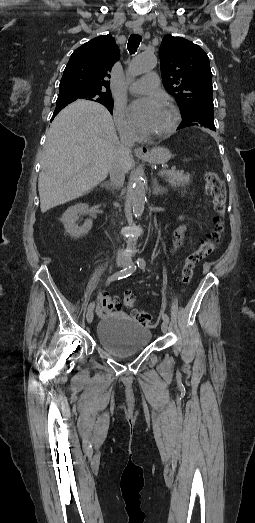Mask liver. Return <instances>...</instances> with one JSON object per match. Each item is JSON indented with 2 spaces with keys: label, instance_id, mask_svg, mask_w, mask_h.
<instances>
[{
  "label": "liver",
  "instance_id": "obj_1",
  "mask_svg": "<svg viewBox=\"0 0 255 523\" xmlns=\"http://www.w3.org/2000/svg\"><path fill=\"white\" fill-rule=\"evenodd\" d=\"M108 110L77 100L53 120L44 144L38 178L42 214L80 198L107 178L119 148ZM133 160L126 164L131 170Z\"/></svg>",
  "mask_w": 255,
  "mask_h": 523
}]
</instances>
